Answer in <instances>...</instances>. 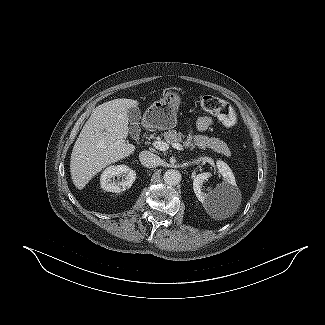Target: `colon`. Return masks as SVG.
I'll use <instances>...</instances> for the list:
<instances>
[{
  "label": "colon",
  "instance_id": "colon-1",
  "mask_svg": "<svg viewBox=\"0 0 325 325\" xmlns=\"http://www.w3.org/2000/svg\"><path fill=\"white\" fill-rule=\"evenodd\" d=\"M202 108L214 114L218 120L227 128L237 124V114L233 107L219 97L206 95L201 99Z\"/></svg>",
  "mask_w": 325,
  "mask_h": 325
}]
</instances>
